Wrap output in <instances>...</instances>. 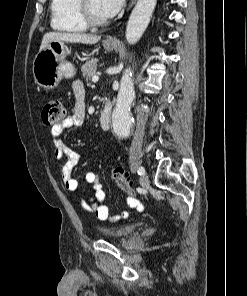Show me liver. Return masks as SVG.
Segmentation results:
<instances>
[{
	"label": "liver",
	"instance_id": "liver-1",
	"mask_svg": "<svg viewBox=\"0 0 247 296\" xmlns=\"http://www.w3.org/2000/svg\"><path fill=\"white\" fill-rule=\"evenodd\" d=\"M101 39L99 35H89L81 33H62V32H49L43 36L40 51L48 46L52 41L70 42V43H83L95 44Z\"/></svg>",
	"mask_w": 247,
	"mask_h": 296
}]
</instances>
